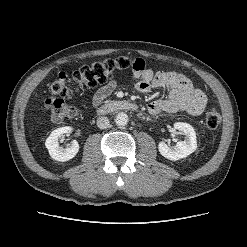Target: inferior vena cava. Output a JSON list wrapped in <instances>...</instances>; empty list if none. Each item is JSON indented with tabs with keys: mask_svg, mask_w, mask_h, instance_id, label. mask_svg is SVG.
Listing matches in <instances>:
<instances>
[{
	"mask_svg": "<svg viewBox=\"0 0 247 247\" xmlns=\"http://www.w3.org/2000/svg\"><path fill=\"white\" fill-rule=\"evenodd\" d=\"M97 126L99 129H106L109 127V119L105 116H101L97 119Z\"/></svg>",
	"mask_w": 247,
	"mask_h": 247,
	"instance_id": "inferior-vena-cava-1",
	"label": "inferior vena cava"
}]
</instances>
